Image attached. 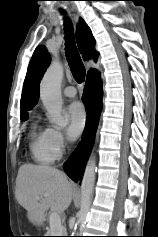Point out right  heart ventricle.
<instances>
[{
	"mask_svg": "<svg viewBox=\"0 0 158 237\" xmlns=\"http://www.w3.org/2000/svg\"><path fill=\"white\" fill-rule=\"evenodd\" d=\"M29 148L33 159L38 163L50 164L56 158L49 146L47 129L42 128L36 122L30 127Z\"/></svg>",
	"mask_w": 158,
	"mask_h": 237,
	"instance_id": "obj_1",
	"label": "right heart ventricle"
}]
</instances>
